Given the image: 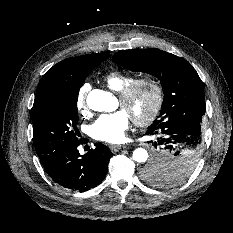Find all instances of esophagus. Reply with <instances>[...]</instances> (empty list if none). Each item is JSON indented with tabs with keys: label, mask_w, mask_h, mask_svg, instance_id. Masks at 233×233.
I'll return each mask as SVG.
<instances>
[{
	"label": "esophagus",
	"mask_w": 233,
	"mask_h": 233,
	"mask_svg": "<svg viewBox=\"0 0 233 233\" xmlns=\"http://www.w3.org/2000/svg\"><path fill=\"white\" fill-rule=\"evenodd\" d=\"M122 147V145H111L110 149L112 152H118Z\"/></svg>",
	"instance_id": "1"
}]
</instances>
